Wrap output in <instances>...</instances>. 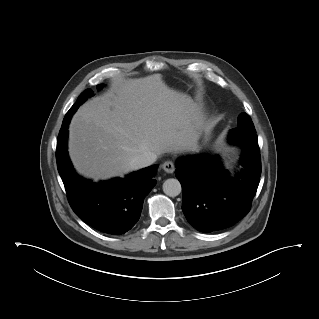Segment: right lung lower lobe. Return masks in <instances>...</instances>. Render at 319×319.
I'll list each match as a JSON object with an SVG mask.
<instances>
[{
  "instance_id": "obj_1",
  "label": "right lung lower lobe",
  "mask_w": 319,
  "mask_h": 319,
  "mask_svg": "<svg viewBox=\"0 0 319 319\" xmlns=\"http://www.w3.org/2000/svg\"><path fill=\"white\" fill-rule=\"evenodd\" d=\"M74 114V113H73ZM65 117L57 139L56 160L68 201L85 223L103 233L120 235L139 220L144 198L155 185L157 166H151L110 181L93 183L75 173L67 154L68 124Z\"/></svg>"
}]
</instances>
